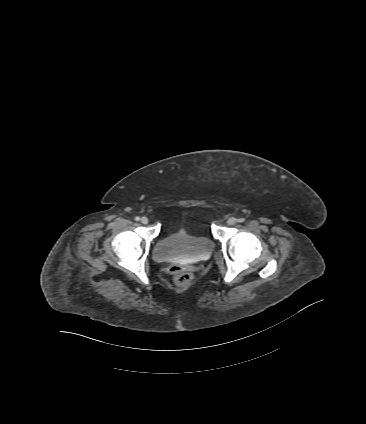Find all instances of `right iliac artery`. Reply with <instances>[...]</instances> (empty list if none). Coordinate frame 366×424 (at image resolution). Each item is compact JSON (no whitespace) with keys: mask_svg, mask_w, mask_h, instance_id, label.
Returning <instances> with one entry per match:
<instances>
[{"mask_svg":"<svg viewBox=\"0 0 366 424\" xmlns=\"http://www.w3.org/2000/svg\"><path fill=\"white\" fill-rule=\"evenodd\" d=\"M135 220H136V221H139V220H140V217H139V216H136V217H135Z\"/></svg>","mask_w":366,"mask_h":424,"instance_id":"right-iliac-artery-1","label":"right iliac artery"}]
</instances>
